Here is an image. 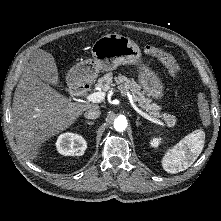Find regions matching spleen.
<instances>
[{
	"label": "spleen",
	"instance_id": "obj_1",
	"mask_svg": "<svg viewBox=\"0 0 221 221\" xmlns=\"http://www.w3.org/2000/svg\"><path fill=\"white\" fill-rule=\"evenodd\" d=\"M204 143V131L196 130L188 134L165 153L162 159L163 169L171 174L186 170L201 154Z\"/></svg>",
	"mask_w": 221,
	"mask_h": 221
}]
</instances>
